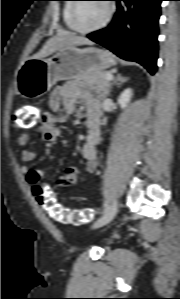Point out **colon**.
Returning a JSON list of instances; mask_svg holds the SVG:
<instances>
[{"mask_svg": "<svg viewBox=\"0 0 180 299\" xmlns=\"http://www.w3.org/2000/svg\"><path fill=\"white\" fill-rule=\"evenodd\" d=\"M42 121V115L37 108H18L14 113V123L18 128L30 129ZM33 192L39 205L54 219L68 224H84L93 219L92 208L70 209L60 205L52 187L46 183L33 185Z\"/></svg>", "mask_w": 180, "mask_h": 299, "instance_id": "5ec220e1", "label": "colon"}]
</instances>
